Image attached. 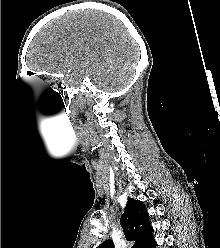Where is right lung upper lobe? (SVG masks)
<instances>
[{
	"instance_id": "cb5924a9",
	"label": "right lung upper lobe",
	"mask_w": 220,
	"mask_h": 248,
	"mask_svg": "<svg viewBox=\"0 0 220 248\" xmlns=\"http://www.w3.org/2000/svg\"><path fill=\"white\" fill-rule=\"evenodd\" d=\"M121 225L127 241H134L132 248H149L155 242L147 209L141 201L128 199ZM97 248H114L112 240H106Z\"/></svg>"
}]
</instances>
